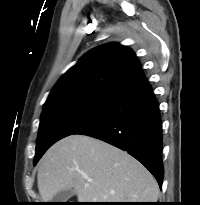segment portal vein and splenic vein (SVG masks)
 I'll return each mask as SVG.
<instances>
[{
	"label": "portal vein and splenic vein",
	"instance_id": "obj_1",
	"mask_svg": "<svg viewBox=\"0 0 200 205\" xmlns=\"http://www.w3.org/2000/svg\"><path fill=\"white\" fill-rule=\"evenodd\" d=\"M87 181H88V182H91V181H92V179H88Z\"/></svg>",
	"mask_w": 200,
	"mask_h": 205
}]
</instances>
